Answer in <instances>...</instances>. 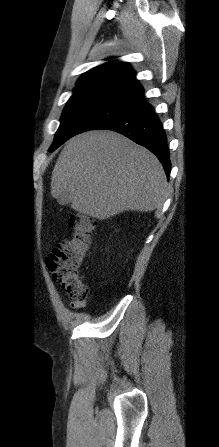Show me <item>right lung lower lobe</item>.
<instances>
[{"mask_svg":"<svg viewBox=\"0 0 219 447\" xmlns=\"http://www.w3.org/2000/svg\"><path fill=\"white\" fill-rule=\"evenodd\" d=\"M97 129H108L121 133L154 153L169 177L171 162L167 137L153 106L142 103L135 109L113 118Z\"/></svg>","mask_w":219,"mask_h":447,"instance_id":"98d812e1","label":"right lung lower lobe"}]
</instances>
